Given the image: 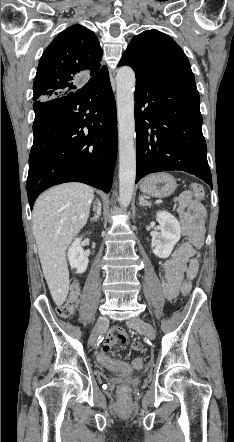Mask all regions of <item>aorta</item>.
<instances>
[{
    "label": "aorta",
    "mask_w": 234,
    "mask_h": 442,
    "mask_svg": "<svg viewBox=\"0 0 234 442\" xmlns=\"http://www.w3.org/2000/svg\"><path fill=\"white\" fill-rule=\"evenodd\" d=\"M135 73L120 67L116 76L119 140V200L126 208L131 202L136 178L134 89Z\"/></svg>",
    "instance_id": "1"
}]
</instances>
